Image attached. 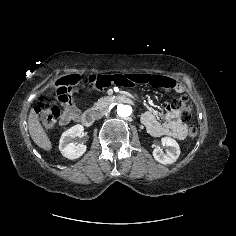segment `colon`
Instances as JSON below:
<instances>
[{"label": "colon", "instance_id": "1", "mask_svg": "<svg viewBox=\"0 0 236 236\" xmlns=\"http://www.w3.org/2000/svg\"><path fill=\"white\" fill-rule=\"evenodd\" d=\"M86 84L76 78H65L56 87L55 101L52 104L40 103L36 107V113L47 130L53 129L60 117V108L58 105L70 103L75 99L84 89ZM172 108L181 111L182 118L186 121L191 119L192 105L189 103L187 97L175 99L172 103ZM198 134V127L196 124H190L188 127V137L194 139Z\"/></svg>", "mask_w": 236, "mask_h": 236}]
</instances>
